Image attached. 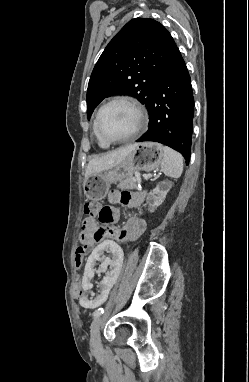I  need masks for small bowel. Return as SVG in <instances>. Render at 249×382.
<instances>
[{"label": "small bowel", "mask_w": 249, "mask_h": 382, "mask_svg": "<svg viewBox=\"0 0 249 382\" xmlns=\"http://www.w3.org/2000/svg\"><path fill=\"white\" fill-rule=\"evenodd\" d=\"M145 195L141 193H130L112 191L108 195L109 206L104 208V212H109L110 216H89L82 221V230L79 233V241L84 253L90 249L95 243L100 242L103 239L117 238L122 241H132L140 237L146 230V220L138 215L130 216L125 225L120 229H108L103 226H99V223L108 225L115 223L119 218V211L116 208L117 205L126 207H140L144 200ZM95 250V249H94ZM85 266V270H86ZM81 294V289L80 293ZM78 295V297H79Z\"/></svg>", "instance_id": "c3829d8e"}]
</instances>
